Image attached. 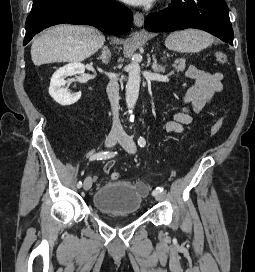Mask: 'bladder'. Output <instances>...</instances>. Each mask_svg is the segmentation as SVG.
I'll list each match as a JSON object with an SVG mask.
<instances>
[{
    "label": "bladder",
    "mask_w": 255,
    "mask_h": 272,
    "mask_svg": "<svg viewBox=\"0 0 255 272\" xmlns=\"http://www.w3.org/2000/svg\"><path fill=\"white\" fill-rule=\"evenodd\" d=\"M142 204V193L129 181L107 182L93 195L94 207L104 215H136Z\"/></svg>",
    "instance_id": "bladder-1"
}]
</instances>
